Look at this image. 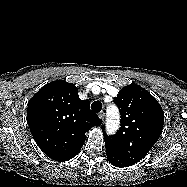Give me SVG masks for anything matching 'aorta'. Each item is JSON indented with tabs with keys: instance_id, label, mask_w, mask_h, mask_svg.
<instances>
[{
	"instance_id": "aorta-1",
	"label": "aorta",
	"mask_w": 187,
	"mask_h": 187,
	"mask_svg": "<svg viewBox=\"0 0 187 187\" xmlns=\"http://www.w3.org/2000/svg\"><path fill=\"white\" fill-rule=\"evenodd\" d=\"M119 111L116 106L107 109V131L114 133L119 128Z\"/></svg>"
}]
</instances>
